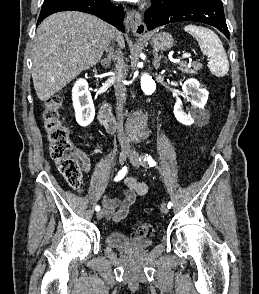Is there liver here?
<instances>
[{
  "instance_id": "liver-1",
  "label": "liver",
  "mask_w": 259,
  "mask_h": 294,
  "mask_svg": "<svg viewBox=\"0 0 259 294\" xmlns=\"http://www.w3.org/2000/svg\"><path fill=\"white\" fill-rule=\"evenodd\" d=\"M120 32L105 21L78 11L47 17L38 27L32 54V78L38 98L47 101L82 71L95 66Z\"/></svg>"
}]
</instances>
